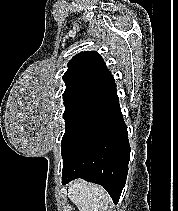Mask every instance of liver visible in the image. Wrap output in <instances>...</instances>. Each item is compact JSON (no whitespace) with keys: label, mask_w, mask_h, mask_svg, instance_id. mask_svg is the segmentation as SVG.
I'll use <instances>...</instances> for the list:
<instances>
[{"label":"liver","mask_w":178,"mask_h":211,"mask_svg":"<svg viewBox=\"0 0 178 211\" xmlns=\"http://www.w3.org/2000/svg\"><path fill=\"white\" fill-rule=\"evenodd\" d=\"M68 197L79 211H107L111 200L104 188L83 180L69 184Z\"/></svg>","instance_id":"6515ba94"}]
</instances>
